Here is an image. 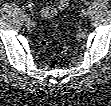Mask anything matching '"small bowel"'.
<instances>
[{
	"mask_svg": "<svg viewBox=\"0 0 111 106\" xmlns=\"http://www.w3.org/2000/svg\"><path fill=\"white\" fill-rule=\"evenodd\" d=\"M68 4H69L68 0L49 2L43 7L41 15L43 18L46 19L53 18L58 12L63 11L68 6Z\"/></svg>",
	"mask_w": 111,
	"mask_h": 106,
	"instance_id": "1",
	"label": "small bowel"
}]
</instances>
